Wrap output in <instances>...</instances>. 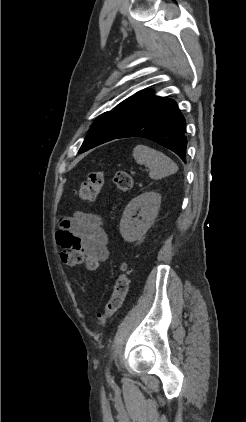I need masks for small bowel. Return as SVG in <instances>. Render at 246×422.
<instances>
[{
	"label": "small bowel",
	"mask_w": 246,
	"mask_h": 422,
	"mask_svg": "<svg viewBox=\"0 0 246 422\" xmlns=\"http://www.w3.org/2000/svg\"><path fill=\"white\" fill-rule=\"evenodd\" d=\"M57 244L67 250H79L99 262L109 258L107 235L102 228L101 218L94 214L77 213L62 220L56 233Z\"/></svg>",
	"instance_id": "obj_1"
}]
</instances>
